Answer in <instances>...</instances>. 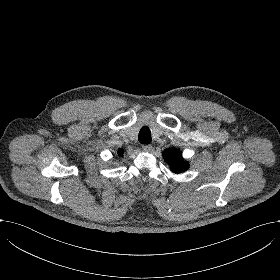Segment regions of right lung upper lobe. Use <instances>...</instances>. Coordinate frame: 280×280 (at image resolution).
<instances>
[{"instance_id":"cb5924a9","label":"right lung upper lobe","mask_w":280,"mask_h":280,"mask_svg":"<svg viewBox=\"0 0 280 280\" xmlns=\"http://www.w3.org/2000/svg\"><path fill=\"white\" fill-rule=\"evenodd\" d=\"M123 154H124V150H123V149H119L118 155H119V156H122Z\"/></svg>"}]
</instances>
